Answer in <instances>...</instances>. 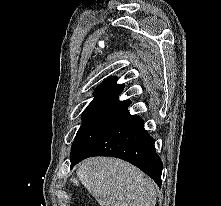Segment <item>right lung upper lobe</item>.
<instances>
[{
  "label": "right lung upper lobe",
  "instance_id": "1",
  "mask_svg": "<svg viewBox=\"0 0 221 206\" xmlns=\"http://www.w3.org/2000/svg\"><path fill=\"white\" fill-rule=\"evenodd\" d=\"M117 77H110L96 88L95 98L88 105L90 107H121L126 108L131 103L129 100L119 101L118 96L123 90V84H116Z\"/></svg>",
  "mask_w": 221,
  "mask_h": 206
}]
</instances>
